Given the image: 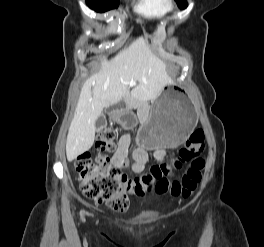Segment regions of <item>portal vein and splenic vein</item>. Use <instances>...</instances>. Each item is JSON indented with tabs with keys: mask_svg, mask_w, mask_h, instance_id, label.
Masks as SVG:
<instances>
[{
	"mask_svg": "<svg viewBox=\"0 0 264 247\" xmlns=\"http://www.w3.org/2000/svg\"><path fill=\"white\" fill-rule=\"evenodd\" d=\"M130 84H131V85H135V83H134V82H131Z\"/></svg>",
	"mask_w": 264,
	"mask_h": 247,
	"instance_id": "18ae733b",
	"label": "portal vein and splenic vein"
}]
</instances>
